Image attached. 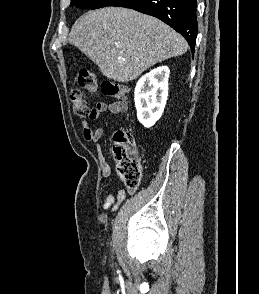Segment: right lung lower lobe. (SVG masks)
<instances>
[{"mask_svg":"<svg viewBox=\"0 0 259 294\" xmlns=\"http://www.w3.org/2000/svg\"><path fill=\"white\" fill-rule=\"evenodd\" d=\"M121 7L162 20L187 40L194 53L198 31L197 0H129Z\"/></svg>","mask_w":259,"mask_h":294,"instance_id":"98d812e1","label":"right lung lower lobe"}]
</instances>
